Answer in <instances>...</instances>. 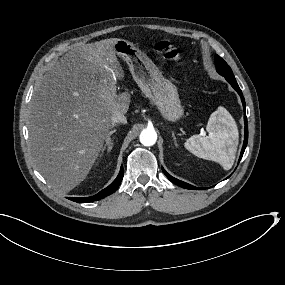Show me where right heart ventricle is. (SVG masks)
<instances>
[{"label":"right heart ventricle","instance_id":"right-heart-ventricle-1","mask_svg":"<svg viewBox=\"0 0 285 285\" xmlns=\"http://www.w3.org/2000/svg\"><path fill=\"white\" fill-rule=\"evenodd\" d=\"M163 93L166 97H169L171 94V89L170 88H164Z\"/></svg>","mask_w":285,"mask_h":285}]
</instances>
